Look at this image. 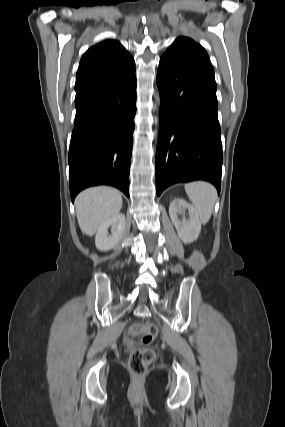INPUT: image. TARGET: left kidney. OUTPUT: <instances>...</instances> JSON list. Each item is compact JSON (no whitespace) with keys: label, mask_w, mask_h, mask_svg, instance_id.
Here are the masks:
<instances>
[{"label":"left kidney","mask_w":285,"mask_h":427,"mask_svg":"<svg viewBox=\"0 0 285 427\" xmlns=\"http://www.w3.org/2000/svg\"><path fill=\"white\" fill-rule=\"evenodd\" d=\"M186 209L189 213V219L180 221L178 214H181ZM169 215L182 242L189 244L197 240L201 231V222L193 206L183 199L176 198L170 203Z\"/></svg>","instance_id":"1"}]
</instances>
